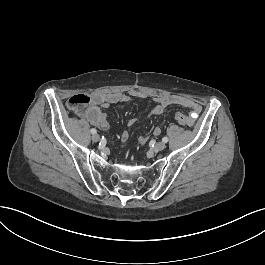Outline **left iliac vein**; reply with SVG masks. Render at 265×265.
<instances>
[{
  "label": "left iliac vein",
  "instance_id": "4c4485c4",
  "mask_svg": "<svg viewBox=\"0 0 265 265\" xmlns=\"http://www.w3.org/2000/svg\"><path fill=\"white\" fill-rule=\"evenodd\" d=\"M165 147H166V144H165L164 142H158V143L156 144V146H155V149H156L157 151H161V150H163Z\"/></svg>",
  "mask_w": 265,
  "mask_h": 265
}]
</instances>
